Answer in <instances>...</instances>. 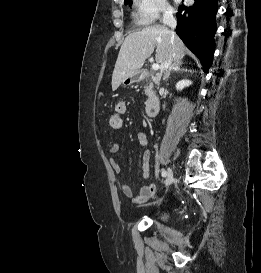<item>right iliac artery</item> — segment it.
<instances>
[{
    "label": "right iliac artery",
    "mask_w": 261,
    "mask_h": 273,
    "mask_svg": "<svg viewBox=\"0 0 261 273\" xmlns=\"http://www.w3.org/2000/svg\"><path fill=\"white\" fill-rule=\"evenodd\" d=\"M167 172L165 170L162 171V177H166Z\"/></svg>",
    "instance_id": "obj_1"
}]
</instances>
